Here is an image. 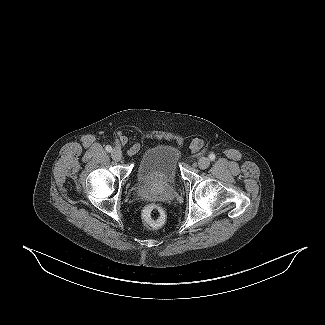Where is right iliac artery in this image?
I'll return each mask as SVG.
<instances>
[{"instance_id":"82829eb1","label":"right iliac artery","mask_w":325,"mask_h":325,"mask_svg":"<svg viewBox=\"0 0 325 325\" xmlns=\"http://www.w3.org/2000/svg\"><path fill=\"white\" fill-rule=\"evenodd\" d=\"M105 149H106L107 152H111L112 151V147L110 145H107L105 147Z\"/></svg>"}]
</instances>
